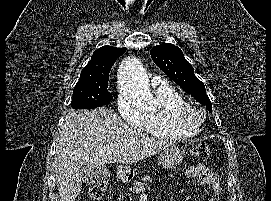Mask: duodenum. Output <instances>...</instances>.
<instances>
[{
    "instance_id": "410a0bca",
    "label": "duodenum",
    "mask_w": 271,
    "mask_h": 201,
    "mask_svg": "<svg viewBox=\"0 0 271 201\" xmlns=\"http://www.w3.org/2000/svg\"><path fill=\"white\" fill-rule=\"evenodd\" d=\"M120 178H121L122 180H125V178H124V177H122V176H120Z\"/></svg>"
}]
</instances>
